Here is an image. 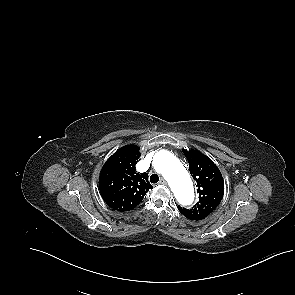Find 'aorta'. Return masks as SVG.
I'll return each mask as SVG.
<instances>
[{
    "instance_id": "obj_1",
    "label": "aorta",
    "mask_w": 295,
    "mask_h": 295,
    "mask_svg": "<svg viewBox=\"0 0 295 295\" xmlns=\"http://www.w3.org/2000/svg\"><path fill=\"white\" fill-rule=\"evenodd\" d=\"M153 164L169 183L177 201L183 206L191 205L194 200L193 182L183 164L166 150L155 154Z\"/></svg>"
}]
</instances>
